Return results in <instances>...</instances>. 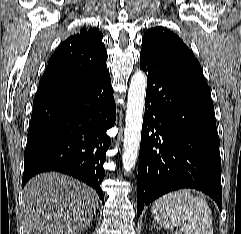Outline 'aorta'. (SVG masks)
<instances>
[{
    "mask_svg": "<svg viewBox=\"0 0 241 234\" xmlns=\"http://www.w3.org/2000/svg\"><path fill=\"white\" fill-rule=\"evenodd\" d=\"M147 79L143 71L138 70L131 77L124 131L123 169L129 173L136 164L143 123Z\"/></svg>",
    "mask_w": 241,
    "mask_h": 234,
    "instance_id": "762f6f07",
    "label": "aorta"
}]
</instances>
